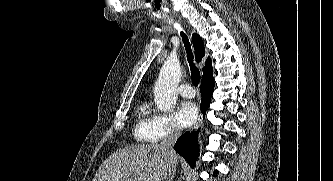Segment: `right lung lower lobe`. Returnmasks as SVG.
Wrapping results in <instances>:
<instances>
[{
	"instance_id": "98d812e1",
	"label": "right lung lower lobe",
	"mask_w": 333,
	"mask_h": 181,
	"mask_svg": "<svg viewBox=\"0 0 333 181\" xmlns=\"http://www.w3.org/2000/svg\"><path fill=\"white\" fill-rule=\"evenodd\" d=\"M214 89V79H205L201 82V111L205 115L208 106L211 102V96ZM199 130L197 131V133ZM197 133L195 132H186L183 134L174 145L175 151L184 157L187 162L193 167L195 165V161L198 158V139Z\"/></svg>"
}]
</instances>
